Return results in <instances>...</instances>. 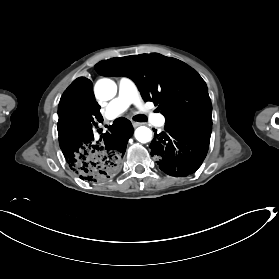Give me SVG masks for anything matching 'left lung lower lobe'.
I'll list each match as a JSON object with an SVG mask.
<instances>
[{"mask_svg": "<svg viewBox=\"0 0 279 279\" xmlns=\"http://www.w3.org/2000/svg\"><path fill=\"white\" fill-rule=\"evenodd\" d=\"M212 128H182L165 125L150 144L151 156L160 169L171 176L194 173L206 157Z\"/></svg>", "mask_w": 279, "mask_h": 279, "instance_id": "1", "label": "left lung lower lobe"}]
</instances>
